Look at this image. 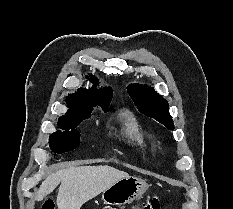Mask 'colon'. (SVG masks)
Segmentation results:
<instances>
[{
    "label": "colon",
    "instance_id": "colon-1",
    "mask_svg": "<svg viewBox=\"0 0 233 209\" xmlns=\"http://www.w3.org/2000/svg\"><path fill=\"white\" fill-rule=\"evenodd\" d=\"M42 209H55V205L52 201H46L42 205ZM136 209H161V200L158 196H151Z\"/></svg>",
    "mask_w": 233,
    "mask_h": 209
}]
</instances>
